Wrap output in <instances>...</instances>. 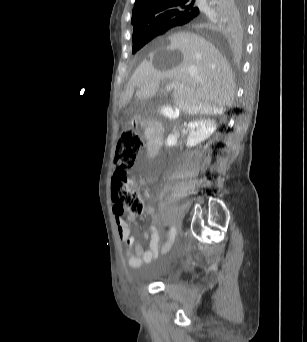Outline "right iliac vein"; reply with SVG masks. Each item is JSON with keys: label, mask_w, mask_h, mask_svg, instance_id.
Instances as JSON below:
<instances>
[{"label": "right iliac vein", "mask_w": 307, "mask_h": 342, "mask_svg": "<svg viewBox=\"0 0 307 342\" xmlns=\"http://www.w3.org/2000/svg\"><path fill=\"white\" fill-rule=\"evenodd\" d=\"M171 245H172V242H168V243H166L163 247H162V253H166V252H168L169 250H170V248H171Z\"/></svg>", "instance_id": "1"}]
</instances>
